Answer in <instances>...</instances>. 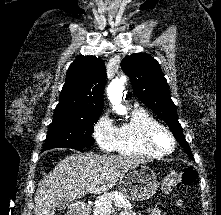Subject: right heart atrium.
<instances>
[{
	"label": "right heart atrium",
	"mask_w": 221,
	"mask_h": 215,
	"mask_svg": "<svg viewBox=\"0 0 221 215\" xmlns=\"http://www.w3.org/2000/svg\"><path fill=\"white\" fill-rule=\"evenodd\" d=\"M117 126L108 113H103L93 127V138L103 151H112L115 147Z\"/></svg>",
	"instance_id": "d8ad5b80"
}]
</instances>
